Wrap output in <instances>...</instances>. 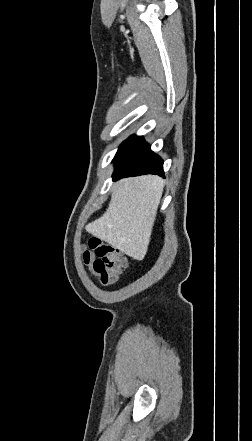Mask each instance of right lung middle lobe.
<instances>
[{
    "mask_svg": "<svg viewBox=\"0 0 252 441\" xmlns=\"http://www.w3.org/2000/svg\"><path fill=\"white\" fill-rule=\"evenodd\" d=\"M126 141H127V140H126ZM126 141H125V142H126ZM125 142L122 143V144L120 145L119 150L123 147V145L125 144ZM119 150H118V151H119Z\"/></svg>",
    "mask_w": 252,
    "mask_h": 441,
    "instance_id": "dd1d6c3e",
    "label": "right lung middle lobe"
}]
</instances>
